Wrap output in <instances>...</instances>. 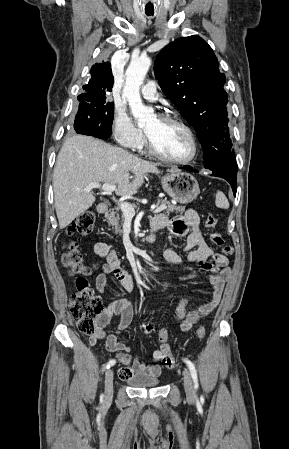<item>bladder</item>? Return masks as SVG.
Returning <instances> with one entry per match:
<instances>
[{
	"label": "bladder",
	"mask_w": 289,
	"mask_h": 449,
	"mask_svg": "<svg viewBox=\"0 0 289 449\" xmlns=\"http://www.w3.org/2000/svg\"><path fill=\"white\" fill-rule=\"evenodd\" d=\"M128 384L137 388H150L158 386L160 379L157 376L140 373L130 378Z\"/></svg>",
	"instance_id": "1"
}]
</instances>
